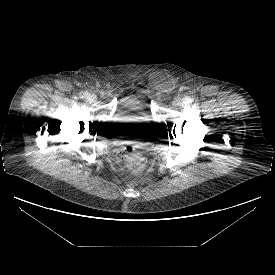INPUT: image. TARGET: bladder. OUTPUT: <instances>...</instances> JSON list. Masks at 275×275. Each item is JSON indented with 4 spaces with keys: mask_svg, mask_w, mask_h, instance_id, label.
<instances>
[{
    "mask_svg": "<svg viewBox=\"0 0 275 275\" xmlns=\"http://www.w3.org/2000/svg\"><path fill=\"white\" fill-rule=\"evenodd\" d=\"M135 112L126 113L116 111L110 118L109 125L115 128L125 127H147L152 123L151 116L145 109V105L140 101H134Z\"/></svg>",
    "mask_w": 275,
    "mask_h": 275,
    "instance_id": "obj_1",
    "label": "bladder"
}]
</instances>
